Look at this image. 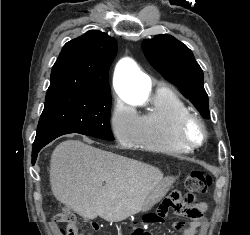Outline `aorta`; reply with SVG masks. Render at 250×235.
<instances>
[{"instance_id":"aorta-1","label":"aorta","mask_w":250,"mask_h":235,"mask_svg":"<svg viewBox=\"0 0 250 235\" xmlns=\"http://www.w3.org/2000/svg\"><path fill=\"white\" fill-rule=\"evenodd\" d=\"M114 82L116 91L125 101L139 104L147 100L151 82L139 71L133 61L129 59L121 61L115 73Z\"/></svg>"}]
</instances>
